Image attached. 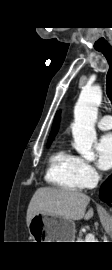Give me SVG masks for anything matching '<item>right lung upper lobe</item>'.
Returning a JSON list of instances; mask_svg holds the SVG:
<instances>
[{
    "label": "right lung upper lobe",
    "instance_id": "cb5924a9",
    "mask_svg": "<svg viewBox=\"0 0 112 270\" xmlns=\"http://www.w3.org/2000/svg\"><path fill=\"white\" fill-rule=\"evenodd\" d=\"M59 122H60V111H58L57 114L55 115L52 130H51L48 141H52L54 139L59 128Z\"/></svg>",
    "mask_w": 112,
    "mask_h": 270
}]
</instances>
